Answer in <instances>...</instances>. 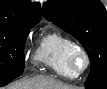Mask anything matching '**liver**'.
<instances>
[{"instance_id": "6515ba94", "label": "liver", "mask_w": 107, "mask_h": 89, "mask_svg": "<svg viewBox=\"0 0 107 89\" xmlns=\"http://www.w3.org/2000/svg\"><path fill=\"white\" fill-rule=\"evenodd\" d=\"M6 89H72L48 76H36L11 84Z\"/></svg>"}]
</instances>
